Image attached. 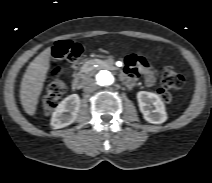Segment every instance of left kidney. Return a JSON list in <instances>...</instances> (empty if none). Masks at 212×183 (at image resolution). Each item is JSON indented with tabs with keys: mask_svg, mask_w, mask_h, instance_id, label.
Listing matches in <instances>:
<instances>
[{
	"mask_svg": "<svg viewBox=\"0 0 212 183\" xmlns=\"http://www.w3.org/2000/svg\"><path fill=\"white\" fill-rule=\"evenodd\" d=\"M138 105L144 119L152 124H162L167 120L165 105L160 97L152 92L139 91Z\"/></svg>",
	"mask_w": 212,
	"mask_h": 183,
	"instance_id": "left-kidney-1",
	"label": "left kidney"
}]
</instances>
